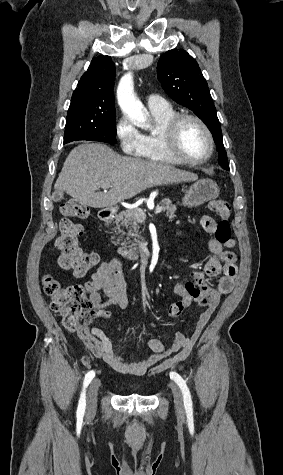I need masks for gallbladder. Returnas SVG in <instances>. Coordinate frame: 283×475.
I'll return each mask as SVG.
<instances>
[{
	"instance_id": "gallbladder-1",
	"label": "gallbladder",
	"mask_w": 283,
	"mask_h": 475,
	"mask_svg": "<svg viewBox=\"0 0 283 475\" xmlns=\"http://www.w3.org/2000/svg\"><path fill=\"white\" fill-rule=\"evenodd\" d=\"M63 198V192H53L52 200L53 202H60Z\"/></svg>"
}]
</instances>
